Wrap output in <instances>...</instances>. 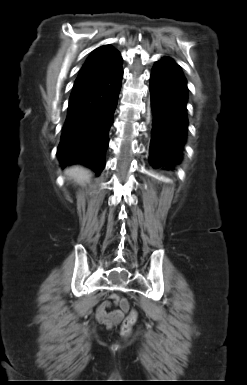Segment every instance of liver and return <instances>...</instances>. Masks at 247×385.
Instances as JSON below:
<instances>
[{
	"mask_svg": "<svg viewBox=\"0 0 247 385\" xmlns=\"http://www.w3.org/2000/svg\"><path fill=\"white\" fill-rule=\"evenodd\" d=\"M64 174L67 177L74 179L80 185H84L92 176L91 172L82 166H72L67 168L64 171Z\"/></svg>",
	"mask_w": 247,
	"mask_h": 385,
	"instance_id": "6515ba94",
	"label": "liver"
}]
</instances>
